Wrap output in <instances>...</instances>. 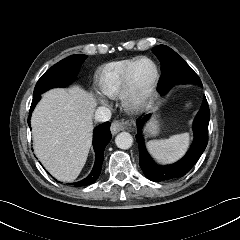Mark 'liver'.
Listing matches in <instances>:
<instances>
[{
    "instance_id": "obj_1",
    "label": "liver",
    "mask_w": 240,
    "mask_h": 240,
    "mask_svg": "<svg viewBox=\"0 0 240 240\" xmlns=\"http://www.w3.org/2000/svg\"><path fill=\"white\" fill-rule=\"evenodd\" d=\"M97 102L73 86L44 93L31 119L34 150L58 180L74 181L84 167L92 142V117Z\"/></svg>"
}]
</instances>
